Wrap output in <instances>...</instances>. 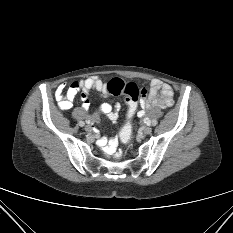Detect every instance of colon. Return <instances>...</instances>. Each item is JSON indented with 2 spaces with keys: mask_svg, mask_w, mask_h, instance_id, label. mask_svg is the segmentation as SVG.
Masks as SVG:
<instances>
[{
  "mask_svg": "<svg viewBox=\"0 0 233 233\" xmlns=\"http://www.w3.org/2000/svg\"><path fill=\"white\" fill-rule=\"evenodd\" d=\"M108 90L113 95H125L126 119L120 131V138L124 143L132 139V119L136 114L140 97L145 96V89L133 82H125L114 78L108 82Z\"/></svg>",
  "mask_w": 233,
  "mask_h": 233,
  "instance_id": "5ec220e1",
  "label": "colon"
}]
</instances>
